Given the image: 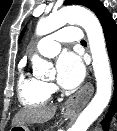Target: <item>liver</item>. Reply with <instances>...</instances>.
<instances>
[{"mask_svg":"<svg viewBox=\"0 0 117 131\" xmlns=\"http://www.w3.org/2000/svg\"><path fill=\"white\" fill-rule=\"evenodd\" d=\"M56 107H29L20 110L12 121V126L25 123H44L54 117Z\"/></svg>","mask_w":117,"mask_h":131,"instance_id":"obj_1","label":"liver"}]
</instances>
